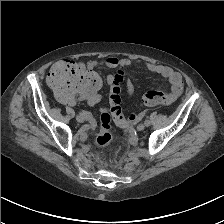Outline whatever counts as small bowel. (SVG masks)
Here are the masks:
<instances>
[{"label":"small bowel","mask_w":224,"mask_h":224,"mask_svg":"<svg viewBox=\"0 0 224 224\" xmlns=\"http://www.w3.org/2000/svg\"><path fill=\"white\" fill-rule=\"evenodd\" d=\"M134 64L144 65L149 71L157 73L167 80L170 87L169 92L170 102L174 101L181 95L183 90V82L181 75L177 71L165 65L155 64L151 62H144L141 60L107 57L104 59L89 61L86 63V67L88 69H93L98 66H105L109 68L118 69V71H122L124 68H128ZM112 79L113 77H110L109 81H112ZM126 92L128 97H131L134 93V85L130 79H128L126 82ZM131 116L134 119V121L137 119V116L135 114H132Z\"/></svg>","instance_id":"c3829d8e"}]
</instances>
